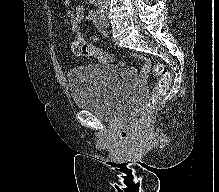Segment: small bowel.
I'll return each mask as SVG.
<instances>
[{"label": "small bowel", "mask_w": 219, "mask_h": 192, "mask_svg": "<svg viewBox=\"0 0 219 192\" xmlns=\"http://www.w3.org/2000/svg\"><path fill=\"white\" fill-rule=\"evenodd\" d=\"M89 1H90V3L95 2V0H89ZM95 12L96 11L91 10L89 12V14L87 15V17H86L85 16L84 6H82V5L76 6V8H75V10H74V12H73V14L71 15V18H70V25H71L72 31L77 35L78 38H81V36H82V22H83V20L84 19L95 20V18H96ZM97 25H98L99 31L101 33L105 34V30H104L103 26L100 23H97ZM93 41L97 42L98 38L94 37ZM99 59L102 60L101 58H99ZM131 71L133 73H136L137 69L136 68H131Z\"/></svg>", "instance_id": "1"}]
</instances>
